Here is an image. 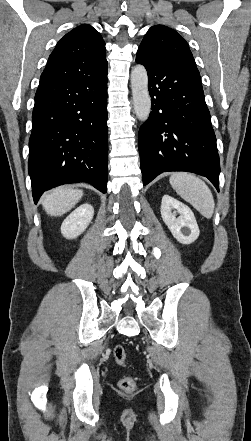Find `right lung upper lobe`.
<instances>
[{"instance_id": "right-lung-upper-lobe-1", "label": "right lung upper lobe", "mask_w": 251, "mask_h": 441, "mask_svg": "<svg viewBox=\"0 0 251 441\" xmlns=\"http://www.w3.org/2000/svg\"><path fill=\"white\" fill-rule=\"evenodd\" d=\"M105 42L90 25L67 33L51 53L40 80L89 76L107 68Z\"/></svg>"}]
</instances>
